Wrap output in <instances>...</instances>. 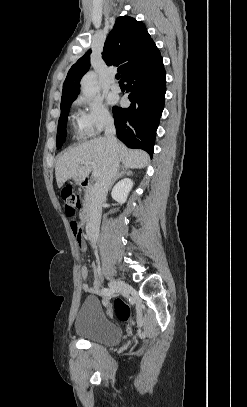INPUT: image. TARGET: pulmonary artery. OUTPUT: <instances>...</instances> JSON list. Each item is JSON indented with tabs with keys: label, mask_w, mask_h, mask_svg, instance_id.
Listing matches in <instances>:
<instances>
[{
	"label": "pulmonary artery",
	"mask_w": 247,
	"mask_h": 407,
	"mask_svg": "<svg viewBox=\"0 0 247 407\" xmlns=\"http://www.w3.org/2000/svg\"><path fill=\"white\" fill-rule=\"evenodd\" d=\"M111 89L114 92H120V87L114 80L111 82Z\"/></svg>",
	"instance_id": "pulmonary-artery-1"
}]
</instances>
